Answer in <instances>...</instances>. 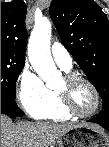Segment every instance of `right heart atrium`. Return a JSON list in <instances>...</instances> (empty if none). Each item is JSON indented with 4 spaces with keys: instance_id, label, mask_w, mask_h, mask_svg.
Wrapping results in <instances>:
<instances>
[{
    "instance_id": "d8ad5b80",
    "label": "right heart atrium",
    "mask_w": 109,
    "mask_h": 147,
    "mask_svg": "<svg viewBox=\"0 0 109 147\" xmlns=\"http://www.w3.org/2000/svg\"><path fill=\"white\" fill-rule=\"evenodd\" d=\"M16 93L22 107L31 115L48 107L53 101V92L29 66L20 72Z\"/></svg>"
}]
</instances>
